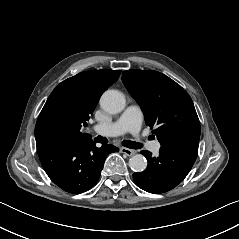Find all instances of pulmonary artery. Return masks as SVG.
<instances>
[{
    "label": "pulmonary artery",
    "mask_w": 239,
    "mask_h": 239,
    "mask_svg": "<svg viewBox=\"0 0 239 239\" xmlns=\"http://www.w3.org/2000/svg\"><path fill=\"white\" fill-rule=\"evenodd\" d=\"M141 110L137 105L128 106L118 120L110 123H98L93 130L98 134H109L113 136L122 135L130 132L136 135L141 127ZM153 152L157 153L160 149V143L154 142L151 146Z\"/></svg>",
    "instance_id": "obj_1"
}]
</instances>
